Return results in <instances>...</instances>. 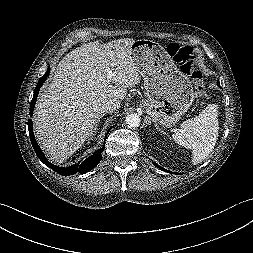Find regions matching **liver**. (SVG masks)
Returning a JSON list of instances; mask_svg holds the SVG:
<instances>
[{"mask_svg": "<svg viewBox=\"0 0 253 253\" xmlns=\"http://www.w3.org/2000/svg\"><path fill=\"white\" fill-rule=\"evenodd\" d=\"M134 41L89 42L59 62L38 97L33 120L36 139L53 162L66 161L93 134L103 101H121L128 87L140 83L142 74L131 56Z\"/></svg>", "mask_w": 253, "mask_h": 253, "instance_id": "obj_1", "label": "liver"}]
</instances>
